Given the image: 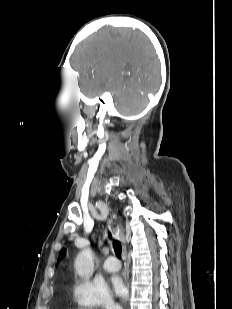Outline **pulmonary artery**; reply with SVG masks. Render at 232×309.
I'll return each mask as SVG.
<instances>
[{
    "label": "pulmonary artery",
    "instance_id": "obj_1",
    "mask_svg": "<svg viewBox=\"0 0 232 309\" xmlns=\"http://www.w3.org/2000/svg\"><path fill=\"white\" fill-rule=\"evenodd\" d=\"M103 269L107 272H117L120 269L119 262L113 256L107 257L103 261Z\"/></svg>",
    "mask_w": 232,
    "mask_h": 309
}]
</instances>
